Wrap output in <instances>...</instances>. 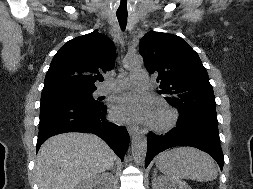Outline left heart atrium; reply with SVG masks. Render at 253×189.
Wrapping results in <instances>:
<instances>
[{"mask_svg": "<svg viewBox=\"0 0 253 189\" xmlns=\"http://www.w3.org/2000/svg\"><path fill=\"white\" fill-rule=\"evenodd\" d=\"M112 115L118 121L134 123L150 120L153 110L147 99L126 93L115 99Z\"/></svg>", "mask_w": 253, "mask_h": 189, "instance_id": "obj_1", "label": "left heart atrium"}]
</instances>
